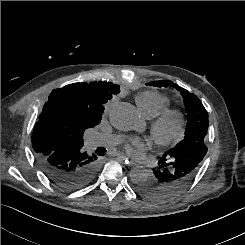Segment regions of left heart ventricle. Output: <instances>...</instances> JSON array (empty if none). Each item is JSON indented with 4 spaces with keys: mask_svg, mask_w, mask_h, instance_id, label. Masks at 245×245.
Returning <instances> with one entry per match:
<instances>
[{
    "mask_svg": "<svg viewBox=\"0 0 245 245\" xmlns=\"http://www.w3.org/2000/svg\"><path fill=\"white\" fill-rule=\"evenodd\" d=\"M176 131V126L174 122L168 123L164 128V134L167 136L173 135Z\"/></svg>",
    "mask_w": 245,
    "mask_h": 245,
    "instance_id": "obj_1",
    "label": "left heart ventricle"
}]
</instances>
